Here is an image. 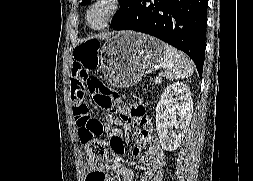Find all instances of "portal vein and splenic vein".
<instances>
[{
    "mask_svg": "<svg viewBox=\"0 0 253 181\" xmlns=\"http://www.w3.org/2000/svg\"><path fill=\"white\" fill-rule=\"evenodd\" d=\"M158 81L160 82V80L157 79L156 82H158Z\"/></svg>",
    "mask_w": 253,
    "mask_h": 181,
    "instance_id": "18ae733b",
    "label": "portal vein and splenic vein"
}]
</instances>
